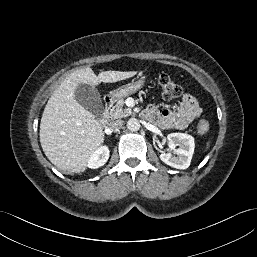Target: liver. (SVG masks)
Here are the masks:
<instances>
[{
    "instance_id": "6515ba94",
    "label": "liver",
    "mask_w": 257,
    "mask_h": 257,
    "mask_svg": "<svg viewBox=\"0 0 257 257\" xmlns=\"http://www.w3.org/2000/svg\"><path fill=\"white\" fill-rule=\"evenodd\" d=\"M136 73L104 71L97 76L86 67L64 79L48 100L40 123L41 147L52 164L64 172H84L89 157L104 142L101 124L75 98L77 86L118 82Z\"/></svg>"
}]
</instances>
